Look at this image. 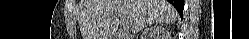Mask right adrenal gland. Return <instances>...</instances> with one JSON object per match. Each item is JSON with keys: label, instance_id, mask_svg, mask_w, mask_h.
Wrapping results in <instances>:
<instances>
[{"label": "right adrenal gland", "instance_id": "1", "mask_svg": "<svg viewBox=\"0 0 249 39\" xmlns=\"http://www.w3.org/2000/svg\"><path fill=\"white\" fill-rule=\"evenodd\" d=\"M151 29H152V27H151V25H149V28L146 29V33L148 30H151ZM137 32H139V31H137ZM146 33H143V36H145Z\"/></svg>", "mask_w": 249, "mask_h": 39}]
</instances>
